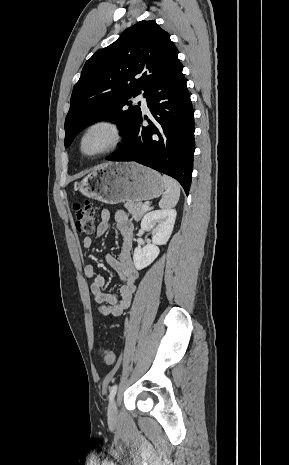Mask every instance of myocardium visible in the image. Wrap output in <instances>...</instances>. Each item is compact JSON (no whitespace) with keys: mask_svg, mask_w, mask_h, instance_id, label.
<instances>
[{"mask_svg":"<svg viewBox=\"0 0 289 465\" xmlns=\"http://www.w3.org/2000/svg\"><path fill=\"white\" fill-rule=\"evenodd\" d=\"M96 128H103L111 133L112 139L107 146L94 153H86L83 150V142L86 136ZM124 140V133L121 125L114 119L108 117H98L89 121L82 129L77 140V150L86 159H94L110 153L117 149Z\"/></svg>","mask_w":289,"mask_h":465,"instance_id":"obj_1","label":"myocardium"}]
</instances>
